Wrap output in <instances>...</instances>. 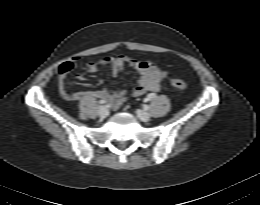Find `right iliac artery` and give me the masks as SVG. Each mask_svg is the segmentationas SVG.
<instances>
[{"mask_svg": "<svg viewBox=\"0 0 260 205\" xmlns=\"http://www.w3.org/2000/svg\"><path fill=\"white\" fill-rule=\"evenodd\" d=\"M99 103H100V104H105V103H106V100H105V99H101V100H99Z\"/></svg>", "mask_w": 260, "mask_h": 205, "instance_id": "82829eb1", "label": "right iliac artery"}]
</instances>
